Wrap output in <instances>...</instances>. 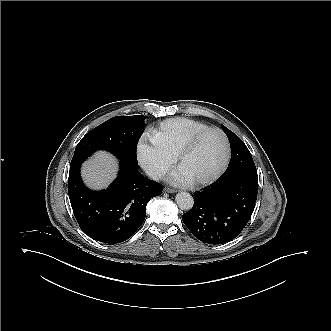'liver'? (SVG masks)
Here are the masks:
<instances>
[{
	"mask_svg": "<svg viewBox=\"0 0 331 331\" xmlns=\"http://www.w3.org/2000/svg\"><path fill=\"white\" fill-rule=\"evenodd\" d=\"M117 171V160L111 154L99 151L83 164L81 173L85 184L98 190L108 187Z\"/></svg>",
	"mask_w": 331,
	"mask_h": 331,
	"instance_id": "obj_1",
	"label": "liver"
}]
</instances>
